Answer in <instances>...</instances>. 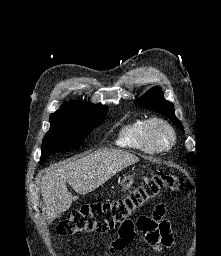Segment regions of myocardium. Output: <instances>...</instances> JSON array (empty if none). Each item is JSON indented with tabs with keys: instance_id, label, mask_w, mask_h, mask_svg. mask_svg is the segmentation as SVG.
Masks as SVG:
<instances>
[{
	"instance_id": "1",
	"label": "myocardium",
	"mask_w": 221,
	"mask_h": 256,
	"mask_svg": "<svg viewBox=\"0 0 221 256\" xmlns=\"http://www.w3.org/2000/svg\"><path fill=\"white\" fill-rule=\"evenodd\" d=\"M157 127H164L171 135V141L168 145H161L155 136V130ZM145 135L148 142L156 151H166L172 148L176 142V133L173 126L160 117H153L147 120L146 128H145Z\"/></svg>"
}]
</instances>
